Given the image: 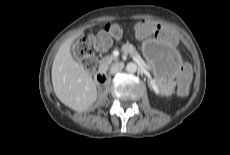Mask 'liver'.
Masks as SVG:
<instances>
[{"instance_id":"liver-1","label":"liver","mask_w":230,"mask_h":155,"mask_svg":"<svg viewBox=\"0 0 230 155\" xmlns=\"http://www.w3.org/2000/svg\"><path fill=\"white\" fill-rule=\"evenodd\" d=\"M80 34L81 32L71 36L60 46L51 70L57 98L78 112L86 111L97 99V88L91 74L70 53L73 40Z\"/></svg>"}]
</instances>
